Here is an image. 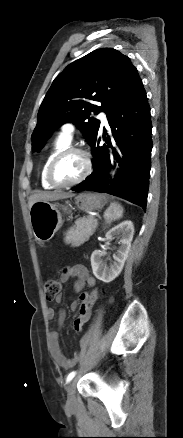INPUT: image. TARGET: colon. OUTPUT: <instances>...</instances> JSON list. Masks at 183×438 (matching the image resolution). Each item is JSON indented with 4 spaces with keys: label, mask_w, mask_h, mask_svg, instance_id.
Instances as JSON below:
<instances>
[{
    "label": "colon",
    "mask_w": 183,
    "mask_h": 438,
    "mask_svg": "<svg viewBox=\"0 0 183 438\" xmlns=\"http://www.w3.org/2000/svg\"><path fill=\"white\" fill-rule=\"evenodd\" d=\"M45 297L47 300L52 301L61 292V284L56 279H48L44 285ZM101 293L98 289L92 290L88 294L81 295L80 315L87 316L96 301L100 298Z\"/></svg>",
    "instance_id": "colon-1"
}]
</instances>
